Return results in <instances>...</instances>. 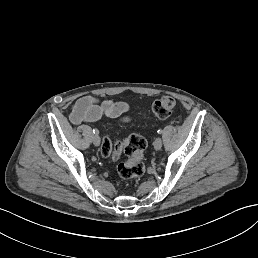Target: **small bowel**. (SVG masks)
I'll list each match as a JSON object with an SVG mask.
<instances>
[{
    "label": "small bowel",
    "mask_w": 258,
    "mask_h": 258,
    "mask_svg": "<svg viewBox=\"0 0 258 258\" xmlns=\"http://www.w3.org/2000/svg\"><path fill=\"white\" fill-rule=\"evenodd\" d=\"M129 109V104L123 101L100 100L93 96H84L73 105L70 119L74 124L97 122L104 116L112 120L129 122L131 120L127 115Z\"/></svg>",
    "instance_id": "obj_1"
}]
</instances>
